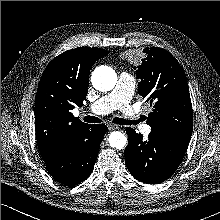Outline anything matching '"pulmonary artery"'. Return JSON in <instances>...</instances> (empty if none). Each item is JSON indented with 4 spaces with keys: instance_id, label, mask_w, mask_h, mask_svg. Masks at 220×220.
Here are the masks:
<instances>
[{
    "instance_id": "obj_1",
    "label": "pulmonary artery",
    "mask_w": 220,
    "mask_h": 220,
    "mask_svg": "<svg viewBox=\"0 0 220 220\" xmlns=\"http://www.w3.org/2000/svg\"><path fill=\"white\" fill-rule=\"evenodd\" d=\"M136 87V79L133 75L122 72L118 76L117 83L113 90L101 96L90 107V113L94 115H105L114 110H120L127 120H135L137 113L130 105V99ZM144 133H150L151 127L141 126Z\"/></svg>"
}]
</instances>
